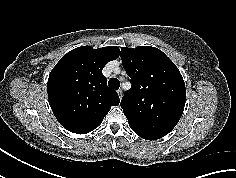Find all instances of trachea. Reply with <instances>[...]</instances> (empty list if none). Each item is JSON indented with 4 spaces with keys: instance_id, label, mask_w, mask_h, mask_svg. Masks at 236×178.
<instances>
[{
    "instance_id": "trachea-1",
    "label": "trachea",
    "mask_w": 236,
    "mask_h": 178,
    "mask_svg": "<svg viewBox=\"0 0 236 178\" xmlns=\"http://www.w3.org/2000/svg\"><path fill=\"white\" fill-rule=\"evenodd\" d=\"M108 85L110 88L114 89V90H118L119 87H120V82L118 79L116 78H111L109 81H108Z\"/></svg>"
}]
</instances>
